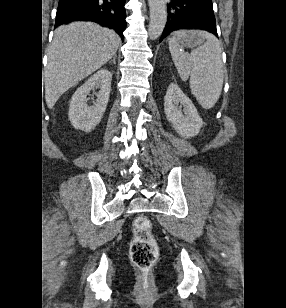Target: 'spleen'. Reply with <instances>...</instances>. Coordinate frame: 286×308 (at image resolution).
Instances as JSON below:
<instances>
[{
    "label": "spleen",
    "mask_w": 286,
    "mask_h": 308,
    "mask_svg": "<svg viewBox=\"0 0 286 308\" xmlns=\"http://www.w3.org/2000/svg\"><path fill=\"white\" fill-rule=\"evenodd\" d=\"M193 32L206 39V43L187 54L179 39ZM169 51L183 81L189 79L192 95L204 109H211L218 101L224 81L221 44L206 31H176L169 39Z\"/></svg>",
    "instance_id": "spleen-1"
}]
</instances>
